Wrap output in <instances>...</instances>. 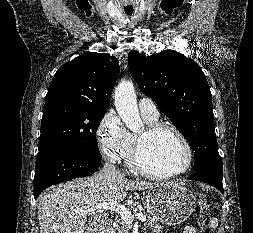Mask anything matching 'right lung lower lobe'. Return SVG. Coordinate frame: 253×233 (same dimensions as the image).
<instances>
[{
    "label": "right lung lower lobe",
    "mask_w": 253,
    "mask_h": 233,
    "mask_svg": "<svg viewBox=\"0 0 253 233\" xmlns=\"http://www.w3.org/2000/svg\"><path fill=\"white\" fill-rule=\"evenodd\" d=\"M102 158H95L74 151L50 149L36 158L34 197L47 187L77 177L93 174Z\"/></svg>",
    "instance_id": "98d812e1"
}]
</instances>
